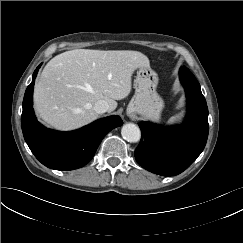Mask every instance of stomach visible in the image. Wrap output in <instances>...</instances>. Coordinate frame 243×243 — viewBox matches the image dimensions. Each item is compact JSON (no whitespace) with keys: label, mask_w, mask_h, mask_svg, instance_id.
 <instances>
[{"label":"stomach","mask_w":243,"mask_h":243,"mask_svg":"<svg viewBox=\"0 0 243 243\" xmlns=\"http://www.w3.org/2000/svg\"><path fill=\"white\" fill-rule=\"evenodd\" d=\"M157 73L149 65L138 67L134 80L135 95L130 101L127 113L140 114L153 121H159L164 101L157 93Z\"/></svg>","instance_id":"obj_1"}]
</instances>
